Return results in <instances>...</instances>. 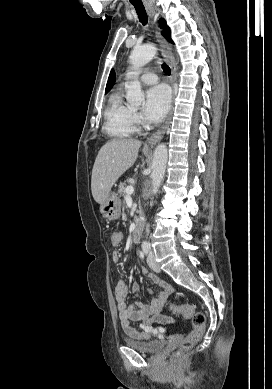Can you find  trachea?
Listing matches in <instances>:
<instances>
[{"instance_id": "1", "label": "trachea", "mask_w": 272, "mask_h": 389, "mask_svg": "<svg viewBox=\"0 0 272 389\" xmlns=\"http://www.w3.org/2000/svg\"><path fill=\"white\" fill-rule=\"evenodd\" d=\"M133 6L136 10L139 21L143 25H146L148 22V17H147V13H146V10H145L143 4H133ZM163 71L166 75H170V73H171L170 67L168 65H166L165 63L163 64Z\"/></svg>"}]
</instances>
